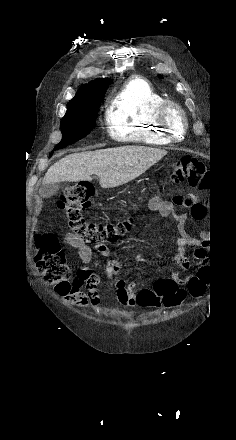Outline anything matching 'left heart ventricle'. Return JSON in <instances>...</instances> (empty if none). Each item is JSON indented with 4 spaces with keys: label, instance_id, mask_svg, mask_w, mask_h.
I'll list each match as a JSON object with an SVG mask.
<instances>
[{
    "label": "left heart ventricle",
    "instance_id": "left-heart-ventricle-1",
    "mask_svg": "<svg viewBox=\"0 0 236 440\" xmlns=\"http://www.w3.org/2000/svg\"><path fill=\"white\" fill-rule=\"evenodd\" d=\"M169 121L173 128V130L177 133L178 136L181 134V119L179 115L172 111L169 115Z\"/></svg>",
    "mask_w": 236,
    "mask_h": 440
}]
</instances>
